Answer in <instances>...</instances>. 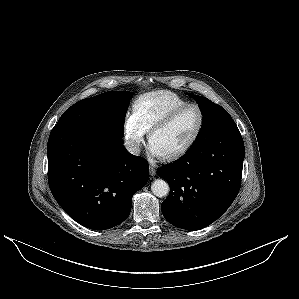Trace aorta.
<instances>
[{"label":"aorta","mask_w":299,"mask_h":299,"mask_svg":"<svg viewBox=\"0 0 299 299\" xmlns=\"http://www.w3.org/2000/svg\"><path fill=\"white\" fill-rule=\"evenodd\" d=\"M153 194L157 197H164L169 193V185L163 179H156L151 185Z\"/></svg>","instance_id":"1"}]
</instances>
